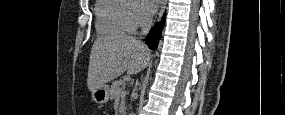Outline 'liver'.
<instances>
[{
  "mask_svg": "<svg viewBox=\"0 0 285 115\" xmlns=\"http://www.w3.org/2000/svg\"><path fill=\"white\" fill-rule=\"evenodd\" d=\"M148 48L134 37L115 35L95 40L88 67L87 86L96 88L119 77L125 71L136 74L149 63Z\"/></svg>",
  "mask_w": 285,
  "mask_h": 115,
  "instance_id": "6515ba94",
  "label": "liver"
}]
</instances>
